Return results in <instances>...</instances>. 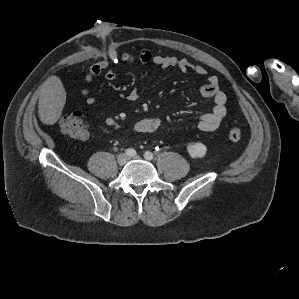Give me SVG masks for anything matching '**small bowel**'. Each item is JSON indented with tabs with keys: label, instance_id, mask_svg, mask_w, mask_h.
<instances>
[{
	"label": "small bowel",
	"instance_id": "obj_1",
	"mask_svg": "<svg viewBox=\"0 0 299 299\" xmlns=\"http://www.w3.org/2000/svg\"><path fill=\"white\" fill-rule=\"evenodd\" d=\"M120 62L133 64L136 62L154 65L162 68L175 67L184 73L193 72L198 75H206L207 70L205 67L194 64L186 58H178L174 56L155 55L148 49H142L137 55L131 53H124L121 56H110L107 59H103L88 69L85 75V81L91 82L94 78L104 72V76L108 81H112L116 78V71L112 67L114 64ZM148 76V71L141 73L140 80L144 81ZM200 94L206 98H212L214 106L210 112L203 114L198 123L197 129L203 132L214 131L218 128L222 120L227 114V96L219 87L218 77L210 75L207 79V83L202 85L199 89ZM82 95L87 104H93L95 97L90 93L88 89L82 90ZM139 97L136 88H132L128 94V98L132 101L137 100ZM160 126V120L155 117L142 118L138 120L134 125V130L137 133H152L156 131Z\"/></svg>",
	"mask_w": 299,
	"mask_h": 299
}]
</instances>
